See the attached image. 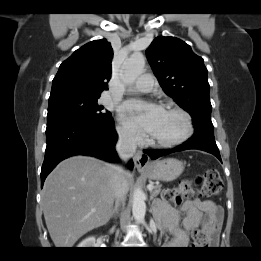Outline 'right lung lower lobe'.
Segmentation results:
<instances>
[{
  "mask_svg": "<svg viewBox=\"0 0 261 261\" xmlns=\"http://www.w3.org/2000/svg\"><path fill=\"white\" fill-rule=\"evenodd\" d=\"M47 146L41 169V187L47 175L62 160L74 155H88L117 162L115 150L118 135L113 119L96 121L65 118L47 122ZM133 162L130 161V168Z\"/></svg>",
  "mask_w": 261,
  "mask_h": 261,
  "instance_id": "1",
  "label": "right lung lower lobe"
}]
</instances>
